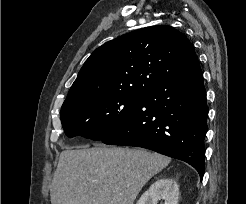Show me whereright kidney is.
I'll list each match as a JSON object with an SVG mask.
<instances>
[{
    "mask_svg": "<svg viewBox=\"0 0 246 204\" xmlns=\"http://www.w3.org/2000/svg\"><path fill=\"white\" fill-rule=\"evenodd\" d=\"M178 196L177 183L170 178H161L143 193L136 204H157L160 198L164 200L163 204H178Z\"/></svg>",
    "mask_w": 246,
    "mask_h": 204,
    "instance_id": "1",
    "label": "right kidney"
}]
</instances>
